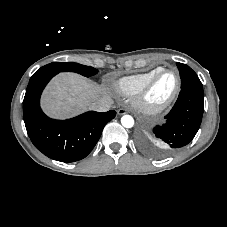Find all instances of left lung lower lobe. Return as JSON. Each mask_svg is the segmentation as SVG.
Segmentation results:
<instances>
[{
	"instance_id": "0a47b994",
	"label": "left lung lower lobe",
	"mask_w": 227,
	"mask_h": 227,
	"mask_svg": "<svg viewBox=\"0 0 227 227\" xmlns=\"http://www.w3.org/2000/svg\"><path fill=\"white\" fill-rule=\"evenodd\" d=\"M203 91L182 88L162 125L138 135L140 147L152 155H166L186 146L196 135L203 116Z\"/></svg>"
}]
</instances>
